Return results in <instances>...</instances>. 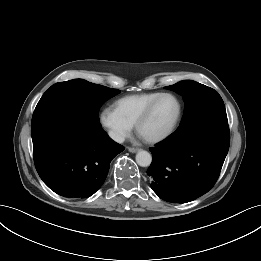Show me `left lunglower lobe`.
Listing matches in <instances>:
<instances>
[{
    "label": "left lung lower lobe",
    "instance_id": "0a47b994",
    "mask_svg": "<svg viewBox=\"0 0 261 261\" xmlns=\"http://www.w3.org/2000/svg\"><path fill=\"white\" fill-rule=\"evenodd\" d=\"M227 117L176 131L150 148L147 170L153 191L173 203L190 202L208 192L217 181L228 153Z\"/></svg>",
    "mask_w": 261,
    "mask_h": 261
}]
</instances>
